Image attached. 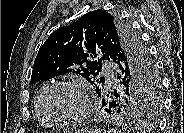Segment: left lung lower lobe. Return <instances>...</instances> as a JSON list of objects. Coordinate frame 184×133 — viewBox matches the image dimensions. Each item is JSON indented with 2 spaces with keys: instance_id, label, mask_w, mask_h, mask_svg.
<instances>
[{
  "instance_id": "obj_1",
  "label": "left lung lower lobe",
  "mask_w": 184,
  "mask_h": 133,
  "mask_svg": "<svg viewBox=\"0 0 184 133\" xmlns=\"http://www.w3.org/2000/svg\"><path fill=\"white\" fill-rule=\"evenodd\" d=\"M121 70V68H119V71H118V73H117V77H118V79L120 80V82H119V86L118 87H125V79H124V76H123V73H122V71H120ZM116 90H117V88L116 89H114V90H112V91H106V89H105V91H101V92H99L98 93V95L100 96V97H109V93L110 92H112V94L114 95V96H116ZM107 93V94H106ZM105 107V109H104V112H106V113H108V114H111V115H114L115 114V103L114 102H110V103H105V99H103L102 100V107H101V109H103ZM127 120H130V119H127ZM142 119H138V120H130V121H132V122H135V123H137V122H140Z\"/></svg>"
}]
</instances>
